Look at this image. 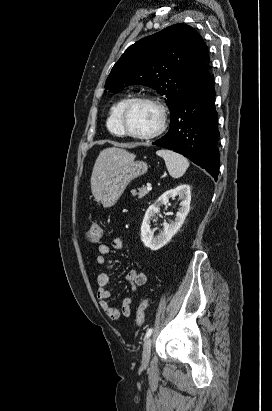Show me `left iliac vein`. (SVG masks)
Returning <instances> with one entry per match:
<instances>
[{
	"label": "left iliac vein",
	"mask_w": 272,
	"mask_h": 411,
	"mask_svg": "<svg viewBox=\"0 0 272 411\" xmlns=\"http://www.w3.org/2000/svg\"><path fill=\"white\" fill-rule=\"evenodd\" d=\"M152 340L147 338L143 344L142 364L146 365L149 362Z\"/></svg>",
	"instance_id": "4c4485c4"
}]
</instances>
